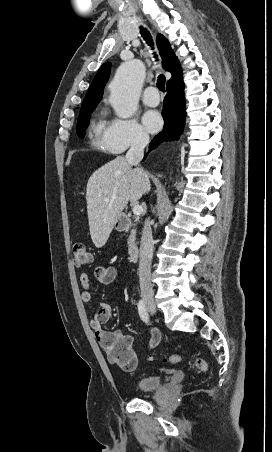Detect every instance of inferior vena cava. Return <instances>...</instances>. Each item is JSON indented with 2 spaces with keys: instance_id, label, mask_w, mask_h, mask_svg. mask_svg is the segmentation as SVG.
Here are the masks:
<instances>
[{
  "instance_id": "inferior-vena-cava-1",
  "label": "inferior vena cava",
  "mask_w": 272,
  "mask_h": 452,
  "mask_svg": "<svg viewBox=\"0 0 272 452\" xmlns=\"http://www.w3.org/2000/svg\"><path fill=\"white\" fill-rule=\"evenodd\" d=\"M149 143V136L145 133H138L126 154V160L134 166H138L144 156V148ZM145 177H147L144 172ZM153 237L150 218L144 222L140 244L139 280L141 297L143 300H153V290L151 285V261L153 257Z\"/></svg>"
}]
</instances>
